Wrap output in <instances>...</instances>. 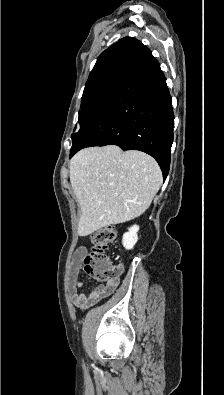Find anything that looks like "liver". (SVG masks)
<instances>
[{
    "instance_id": "6515ba94",
    "label": "liver",
    "mask_w": 224,
    "mask_h": 395,
    "mask_svg": "<svg viewBox=\"0 0 224 395\" xmlns=\"http://www.w3.org/2000/svg\"><path fill=\"white\" fill-rule=\"evenodd\" d=\"M70 182L80 207L78 235L143 214L162 185L158 163L140 151L91 147L70 161Z\"/></svg>"
}]
</instances>
